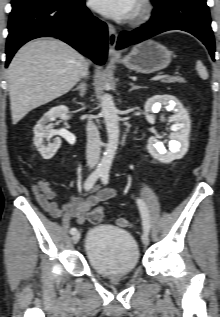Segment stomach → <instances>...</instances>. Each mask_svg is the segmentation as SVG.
<instances>
[{"label":"stomach","mask_w":220,"mask_h":317,"mask_svg":"<svg viewBox=\"0 0 220 317\" xmlns=\"http://www.w3.org/2000/svg\"><path fill=\"white\" fill-rule=\"evenodd\" d=\"M171 57V51L164 45L146 40L135 45L127 56L118 61L137 73L149 74L166 68Z\"/></svg>","instance_id":"stomach-1"}]
</instances>
